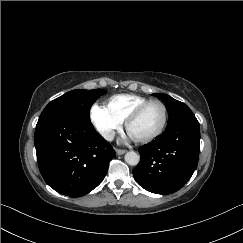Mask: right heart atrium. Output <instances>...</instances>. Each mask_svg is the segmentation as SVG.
<instances>
[{
  "label": "right heart atrium",
  "instance_id": "1",
  "mask_svg": "<svg viewBox=\"0 0 243 243\" xmlns=\"http://www.w3.org/2000/svg\"><path fill=\"white\" fill-rule=\"evenodd\" d=\"M89 117L98 133L107 140H111L122 126V121L103 105L94 104Z\"/></svg>",
  "mask_w": 243,
  "mask_h": 243
}]
</instances>
